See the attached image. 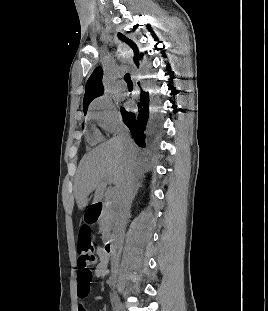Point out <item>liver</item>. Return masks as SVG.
<instances>
[{
  "mask_svg": "<svg viewBox=\"0 0 268 311\" xmlns=\"http://www.w3.org/2000/svg\"><path fill=\"white\" fill-rule=\"evenodd\" d=\"M147 163L128 138L114 137L85 155L78 167L75 179V197L80 210L88 204V197L95 191L93 203L102 200L107 186V178L115 185L116 195L127 176H142Z\"/></svg>",
  "mask_w": 268,
  "mask_h": 311,
  "instance_id": "6515ba94",
  "label": "liver"
}]
</instances>
